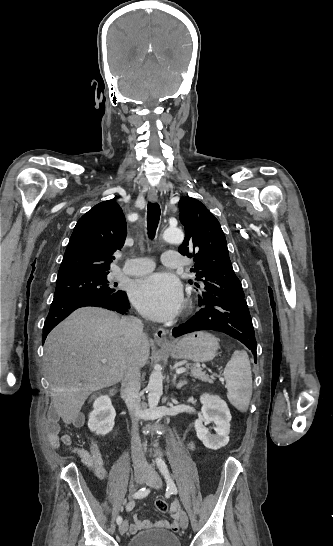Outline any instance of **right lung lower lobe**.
Masks as SVG:
<instances>
[{
    "mask_svg": "<svg viewBox=\"0 0 333 546\" xmlns=\"http://www.w3.org/2000/svg\"><path fill=\"white\" fill-rule=\"evenodd\" d=\"M95 306L127 314L130 304L124 291L113 295H80L54 299L43 327V342L49 332L71 312L80 307Z\"/></svg>",
    "mask_w": 333,
    "mask_h": 546,
    "instance_id": "right-lung-lower-lobe-1",
    "label": "right lung lower lobe"
}]
</instances>
